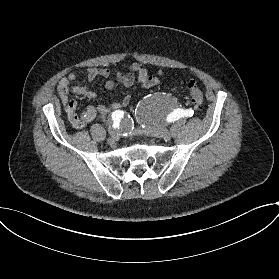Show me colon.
<instances>
[{
  "label": "colon",
  "instance_id": "5ec220e1",
  "mask_svg": "<svg viewBox=\"0 0 279 279\" xmlns=\"http://www.w3.org/2000/svg\"><path fill=\"white\" fill-rule=\"evenodd\" d=\"M187 90L195 107L201 109L203 105V92L199 85L194 80H190L187 83Z\"/></svg>",
  "mask_w": 279,
  "mask_h": 279
}]
</instances>
